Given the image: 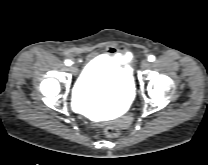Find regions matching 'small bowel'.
I'll list each match as a JSON object with an SVG mask.
<instances>
[{
    "instance_id": "1",
    "label": "small bowel",
    "mask_w": 208,
    "mask_h": 165,
    "mask_svg": "<svg viewBox=\"0 0 208 165\" xmlns=\"http://www.w3.org/2000/svg\"><path fill=\"white\" fill-rule=\"evenodd\" d=\"M106 56L120 57L123 63H130L132 60L131 53L125 47H109L106 52Z\"/></svg>"
}]
</instances>
